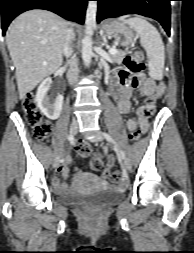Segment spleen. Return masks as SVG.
I'll return each instance as SVG.
<instances>
[{
  "instance_id": "obj_1",
  "label": "spleen",
  "mask_w": 194,
  "mask_h": 253,
  "mask_svg": "<svg viewBox=\"0 0 194 253\" xmlns=\"http://www.w3.org/2000/svg\"><path fill=\"white\" fill-rule=\"evenodd\" d=\"M127 18L128 16H121L119 20L127 23L140 38V44L145 49L149 59V76L154 80H161L163 78L165 49L159 32L143 18Z\"/></svg>"
}]
</instances>
